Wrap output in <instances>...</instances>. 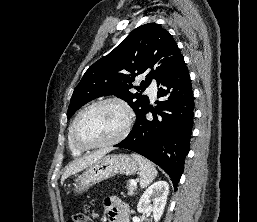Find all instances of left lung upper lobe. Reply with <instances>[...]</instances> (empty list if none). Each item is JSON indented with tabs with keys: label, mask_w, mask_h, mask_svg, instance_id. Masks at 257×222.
I'll list each match as a JSON object with an SVG mask.
<instances>
[{
	"label": "left lung upper lobe",
	"mask_w": 257,
	"mask_h": 222,
	"mask_svg": "<svg viewBox=\"0 0 257 222\" xmlns=\"http://www.w3.org/2000/svg\"><path fill=\"white\" fill-rule=\"evenodd\" d=\"M182 58L172 35L160 25L139 26L113 51L88 68L74 89L67 117L89 101L107 95L126 101L137 116L146 108L149 98L131 89L144 90L152 79L159 83ZM141 74L145 75V80L140 86H134V78Z\"/></svg>",
	"instance_id": "obj_1"
}]
</instances>
